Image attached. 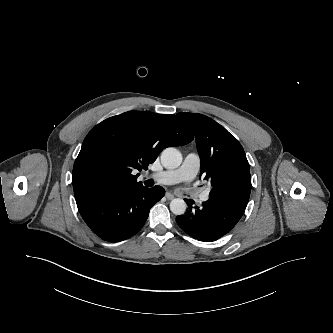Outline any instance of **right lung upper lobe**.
<instances>
[{
	"mask_svg": "<svg viewBox=\"0 0 333 333\" xmlns=\"http://www.w3.org/2000/svg\"><path fill=\"white\" fill-rule=\"evenodd\" d=\"M193 138L190 127L176 115L129 111L110 117L83 141L73 167L74 195L143 187L135 170L147 169L166 147L182 146Z\"/></svg>",
	"mask_w": 333,
	"mask_h": 333,
	"instance_id": "cb5924a9",
	"label": "right lung upper lobe"
}]
</instances>
